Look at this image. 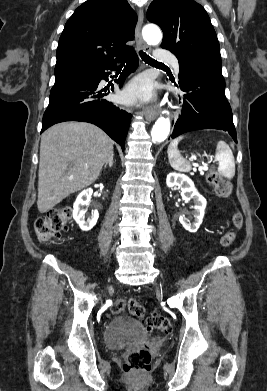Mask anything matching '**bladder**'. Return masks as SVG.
Returning a JSON list of instances; mask_svg holds the SVG:
<instances>
[{"instance_id": "31cf9c89", "label": "bladder", "mask_w": 267, "mask_h": 391, "mask_svg": "<svg viewBox=\"0 0 267 391\" xmlns=\"http://www.w3.org/2000/svg\"><path fill=\"white\" fill-rule=\"evenodd\" d=\"M141 336L139 324L129 317H116L112 319L105 331L104 339L111 348H120L125 344L137 340Z\"/></svg>"}]
</instances>
